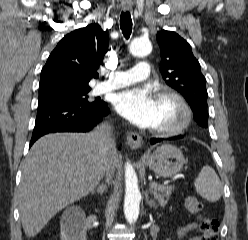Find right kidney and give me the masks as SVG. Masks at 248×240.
<instances>
[{
  "label": "right kidney",
  "mask_w": 248,
  "mask_h": 240,
  "mask_svg": "<svg viewBox=\"0 0 248 240\" xmlns=\"http://www.w3.org/2000/svg\"><path fill=\"white\" fill-rule=\"evenodd\" d=\"M60 237L61 240H86V227L83 223L75 225L62 222Z\"/></svg>",
  "instance_id": "1"
}]
</instances>
